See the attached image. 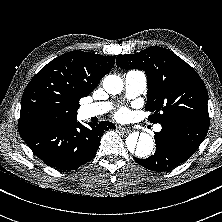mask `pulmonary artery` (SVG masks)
<instances>
[{"label":"pulmonary artery","mask_w":222,"mask_h":222,"mask_svg":"<svg viewBox=\"0 0 222 222\" xmlns=\"http://www.w3.org/2000/svg\"><path fill=\"white\" fill-rule=\"evenodd\" d=\"M125 93L126 97L134 98L139 96L145 89L147 78L144 72L139 70H130L125 74ZM110 102H97L85 105L82 108L85 117H93L103 115L111 109ZM156 131L161 130V125H156Z\"/></svg>","instance_id":"1"}]
</instances>
